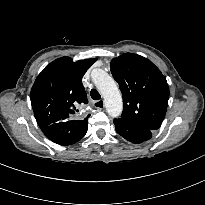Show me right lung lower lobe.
Here are the masks:
<instances>
[{
	"label": "right lung lower lobe",
	"instance_id": "right-lung-lower-lobe-1",
	"mask_svg": "<svg viewBox=\"0 0 205 205\" xmlns=\"http://www.w3.org/2000/svg\"><path fill=\"white\" fill-rule=\"evenodd\" d=\"M58 127L55 125L48 126L42 129L43 133L49 138L51 141L61 144V145H70L73 144L71 141H68L66 138L57 134Z\"/></svg>",
	"mask_w": 205,
	"mask_h": 205
}]
</instances>
